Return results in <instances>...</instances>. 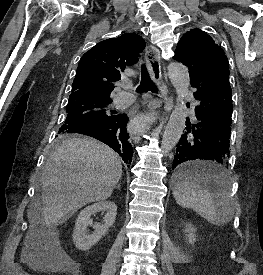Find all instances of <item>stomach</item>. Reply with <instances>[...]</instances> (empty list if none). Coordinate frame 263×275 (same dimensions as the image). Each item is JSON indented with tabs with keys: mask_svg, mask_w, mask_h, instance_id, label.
<instances>
[{
	"mask_svg": "<svg viewBox=\"0 0 263 275\" xmlns=\"http://www.w3.org/2000/svg\"><path fill=\"white\" fill-rule=\"evenodd\" d=\"M192 165H196V163H192Z\"/></svg>",
	"mask_w": 263,
	"mask_h": 275,
	"instance_id": "0dacf381",
	"label": "stomach"
}]
</instances>
